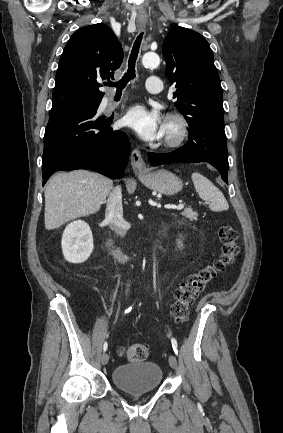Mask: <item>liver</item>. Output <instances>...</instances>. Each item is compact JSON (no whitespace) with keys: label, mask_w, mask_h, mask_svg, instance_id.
<instances>
[{"label":"liver","mask_w":283,"mask_h":433,"mask_svg":"<svg viewBox=\"0 0 283 433\" xmlns=\"http://www.w3.org/2000/svg\"><path fill=\"white\" fill-rule=\"evenodd\" d=\"M111 188L113 180L89 170L54 174L45 188L46 229H58L68 221L97 212Z\"/></svg>","instance_id":"liver-1"}]
</instances>
